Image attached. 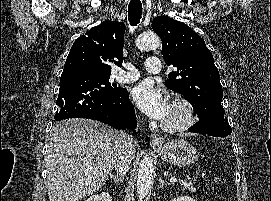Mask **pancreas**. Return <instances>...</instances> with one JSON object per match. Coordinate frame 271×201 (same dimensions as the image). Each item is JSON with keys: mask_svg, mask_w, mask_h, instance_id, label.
I'll return each mask as SVG.
<instances>
[{"mask_svg": "<svg viewBox=\"0 0 271 201\" xmlns=\"http://www.w3.org/2000/svg\"><path fill=\"white\" fill-rule=\"evenodd\" d=\"M180 185L183 187V189H188L191 192H195L196 188L194 187V185L192 184L191 181H186V180H182L180 182Z\"/></svg>", "mask_w": 271, "mask_h": 201, "instance_id": "obj_1", "label": "pancreas"}]
</instances>
